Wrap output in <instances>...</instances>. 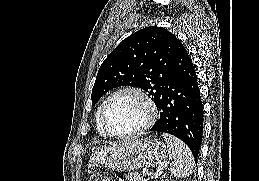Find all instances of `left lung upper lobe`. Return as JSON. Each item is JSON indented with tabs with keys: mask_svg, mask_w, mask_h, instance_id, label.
I'll use <instances>...</instances> for the list:
<instances>
[{
	"mask_svg": "<svg viewBox=\"0 0 259 181\" xmlns=\"http://www.w3.org/2000/svg\"><path fill=\"white\" fill-rule=\"evenodd\" d=\"M178 39L162 27L149 26L124 39L102 63L92 90V105L109 90L136 86L156 104L172 77Z\"/></svg>",
	"mask_w": 259,
	"mask_h": 181,
	"instance_id": "1",
	"label": "left lung upper lobe"
}]
</instances>
